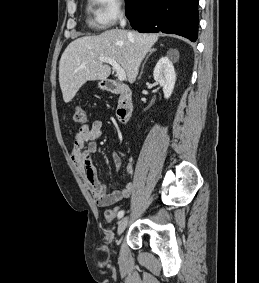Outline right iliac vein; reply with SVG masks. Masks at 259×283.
<instances>
[{
	"instance_id": "right-iliac-vein-1",
	"label": "right iliac vein",
	"mask_w": 259,
	"mask_h": 283,
	"mask_svg": "<svg viewBox=\"0 0 259 283\" xmlns=\"http://www.w3.org/2000/svg\"><path fill=\"white\" fill-rule=\"evenodd\" d=\"M128 217H124L121 219V221L119 222V225H118V229H117V234L118 235H121L124 230L126 229L127 225H128Z\"/></svg>"
}]
</instances>
